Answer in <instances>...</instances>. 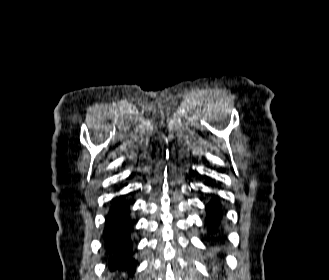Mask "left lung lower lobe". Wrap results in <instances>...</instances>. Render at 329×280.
<instances>
[{
	"label": "left lung lower lobe",
	"instance_id": "left-lung-lower-lobe-1",
	"mask_svg": "<svg viewBox=\"0 0 329 280\" xmlns=\"http://www.w3.org/2000/svg\"><path fill=\"white\" fill-rule=\"evenodd\" d=\"M206 211H207V224L210 227V232L211 233H216L218 229V224L220 222L221 218V211L219 208V203H214L211 202L206 206Z\"/></svg>",
	"mask_w": 329,
	"mask_h": 280
}]
</instances>
